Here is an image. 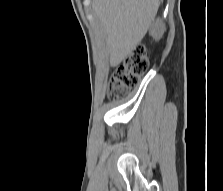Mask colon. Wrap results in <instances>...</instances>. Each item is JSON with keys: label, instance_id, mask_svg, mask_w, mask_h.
I'll list each match as a JSON object with an SVG mask.
<instances>
[{"label": "colon", "instance_id": "1", "mask_svg": "<svg viewBox=\"0 0 223 191\" xmlns=\"http://www.w3.org/2000/svg\"><path fill=\"white\" fill-rule=\"evenodd\" d=\"M149 59L143 47L135 48L112 73L108 97L117 100L136 87L138 79L147 72Z\"/></svg>", "mask_w": 223, "mask_h": 191}]
</instances>
